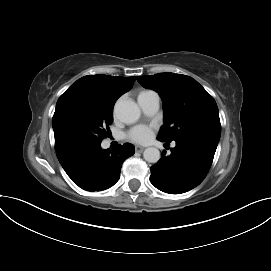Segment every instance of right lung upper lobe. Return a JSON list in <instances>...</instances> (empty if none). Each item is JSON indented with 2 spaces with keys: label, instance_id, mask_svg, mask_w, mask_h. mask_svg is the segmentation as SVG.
<instances>
[{
  "label": "right lung upper lobe",
  "instance_id": "obj_1",
  "mask_svg": "<svg viewBox=\"0 0 271 271\" xmlns=\"http://www.w3.org/2000/svg\"><path fill=\"white\" fill-rule=\"evenodd\" d=\"M135 81V77H114L109 75H88L80 78L72 84L68 90L60 96L56 107L66 98L80 95L86 99L104 105H112L125 92L129 91ZM58 160H62L69 150L62 149L55 142Z\"/></svg>",
  "mask_w": 271,
  "mask_h": 271
}]
</instances>
